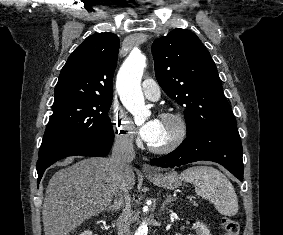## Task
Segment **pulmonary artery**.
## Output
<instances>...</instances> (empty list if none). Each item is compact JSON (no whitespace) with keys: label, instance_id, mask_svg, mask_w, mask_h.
<instances>
[{"label":"pulmonary artery","instance_id":"1","mask_svg":"<svg viewBox=\"0 0 283 235\" xmlns=\"http://www.w3.org/2000/svg\"><path fill=\"white\" fill-rule=\"evenodd\" d=\"M144 96L152 101L158 100L160 97V88L158 84L150 78L144 79L141 83Z\"/></svg>","mask_w":283,"mask_h":235}]
</instances>
